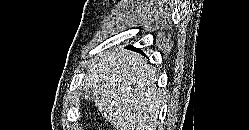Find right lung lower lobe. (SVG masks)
<instances>
[{"label": "right lung lower lobe", "mask_w": 249, "mask_h": 130, "mask_svg": "<svg viewBox=\"0 0 249 130\" xmlns=\"http://www.w3.org/2000/svg\"><path fill=\"white\" fill-rule=\"evenodd\" d=\"M128 47H130V48H132V49H135V50H137V51H140V49H136V48H134L133 46H128Z\"/></svg>", "instance_id": "98d812e1"}]
</instances>
